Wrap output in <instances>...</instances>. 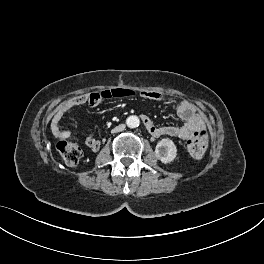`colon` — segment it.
Listing matches in <instances>:
<instances>
[{"label": "colon", "mask_w": 264, "mask_h": 264, "mask_svg": "<svg viewBox=\"0 0 264 264\" xmlns=\"http://www.w3.org/2000/svg\"><path fill=\"white\" fill-rule=\"evenodd\" d=\"M131 92L127 90H115V91H104L99 93H91L89 95L90 103H96L103 98H109L112 96H126L130 95ZM207 133L205 130H199L196 132L186 143V148L188 153L194 158H200L207 147ZM57 151L68 165L77 164L82 157L81 148L71 142L66 140H61L56 145Z\"/></svg>", "instance_id": "5ec220e1"}]
</instances>
